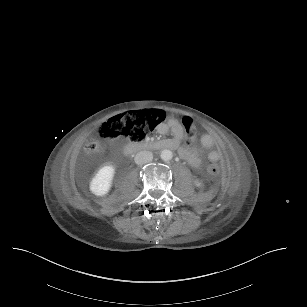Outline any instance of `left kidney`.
<instances>
[{"mask_svg":"<svg viewBox=\"0 0 307 307\" xmlns=\"http://www.w3.org/2000/svg\"><path fill=\"white\" fill-rule=\"evenodd\" d=\"M200 185V182L196 181V186L199 187Z\"/></svg>","mask_w":307,"mask_h":307,"instance_id":"1","label":"left kidney"}]
</instances>
